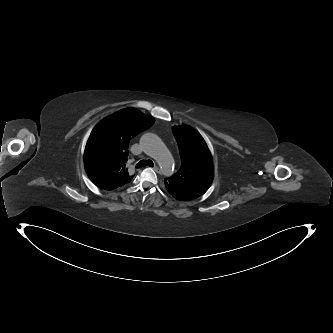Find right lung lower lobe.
I'll return each mask as SVG.
<instances>
[{"label": "right lung lower lobe", "mask_w": 333, "mask_h": 333, "mask_svg": "<svg viewBox=\"0 0 333 333\" xmlns=\"http://www.w3.org/2000/svg\"><path fill=\"white\" fill-rule=\"evenodd\" d=\"M87 171H88V173H89V169L87 168ZM90 174V173H89ZM88 175V174H87ZM89 177V176H88ZM93 182V181H92ZM94 183V182H93Z\"/></svg>", "instance_id": "obj_1"}]
</instances>
